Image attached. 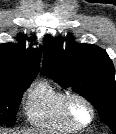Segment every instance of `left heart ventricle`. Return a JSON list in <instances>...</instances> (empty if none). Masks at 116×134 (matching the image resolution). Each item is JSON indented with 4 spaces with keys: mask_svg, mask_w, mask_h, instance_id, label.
I'll return each mask as SVG.
<instances>
[{
    "mask_svg": "<svg viewBox=\"0 0 116 134\" xmlns=\"http://www.w3.org/2000/svg\"><path fill=\"white\" fill-rule=\"evenodd\" d=\"M74 113L83 122L89 119L88 110L82 104L77 103L74 105Z\"/></svg>",
    "mask_w": 116,
    "mask_h": 134,
    "instance_id": "1",
    "label": "left heart ventricle"
}]
</instances>
